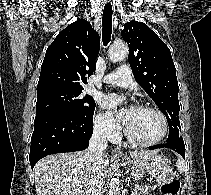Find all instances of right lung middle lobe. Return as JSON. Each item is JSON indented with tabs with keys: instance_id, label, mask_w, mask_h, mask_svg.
Listing matches in <instances>:
<instances>
[{
	"instance_id": "dd1d6c3e",
	"label": "right lung middle lobe",
	"mask_w": 211,
	"mask_h": 195,
	"mask_svg": "<svg viewBox=\"0 0 211 195\" xmlns=\"http://www.w3.org/2000/svg\"><path fill=\"white\" fill-rule=\"evenodd\" d=\"M83 89L54 88L37 94L36 116L49 113L88 117L93 115L95 101L83 95Z\"/></svg>"
}]
</instances>
